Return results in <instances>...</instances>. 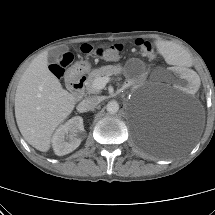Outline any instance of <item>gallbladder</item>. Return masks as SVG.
Listing matches in <instances>:
<instances>
[{
    "mask_svg": "<svg viewBox=\"0 0 215 215\" xmlns=\"http://www.w3.org/2000/svg\"><path fill=\"white\" fill-rule=\"evenodd\" d=\"M67 51H68V48L66 46H60L51 50L48 53V62L49 63L58 62L62 57V55H64Z\"/></svg>",
    "mask_w": 215,
    "mask_h": 215,
    "instance_id": "obj_1",
    "label": "gallbladder"
}]
</instances>
